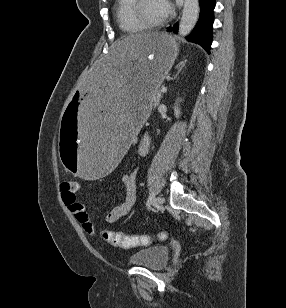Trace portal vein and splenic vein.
Instances as JSON below:
<instances>
[{"instance_id": "18ae733b", "label": "portal vein and splenic vein", "mask_w": 286, "mask_h": 308, "mask_svg": "<svg viewBox=\"0 0 286 308\" xmlns=\"http://www.w3.org/2000/svg\"><path fill=\"white\" fill-rule=\"evenodd\" d=\"M161 92H162V93L167 92V88H166V87H162V88H161Z\"/></svg>"}]
</instances>
